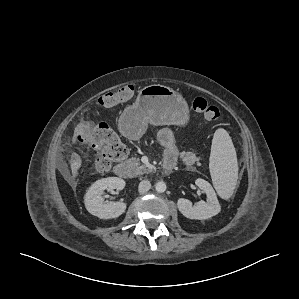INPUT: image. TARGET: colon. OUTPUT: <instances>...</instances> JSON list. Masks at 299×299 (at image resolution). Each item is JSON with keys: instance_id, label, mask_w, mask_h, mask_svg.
<instances>
[{"instance_id": "5ec220e1", "label": "colon", "mask_w": 299, "mask_h": 299, "mask_svg": "<svg viewBox=\"0 0 299 299\" xmlns=\"http://www.w3.org/2000/svg\"><path fill=\"white\" fill-rule=\"evenodd\" d=\"M133 93V86L126 85L116 91L101 95L98 101L103 107L113 108L130 100ZM192 108L210 122L216 121L220 117L219 109L201 97L192 100ZM79 139L98 150L95 169L99 172H107L116 162L127 155L126 147L106 123L89 125L82 130Z\"/></svg>"}]
</instances>
